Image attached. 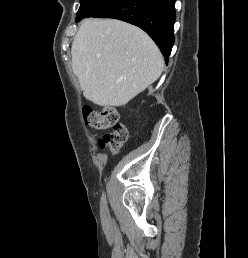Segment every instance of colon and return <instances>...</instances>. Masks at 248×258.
I'll list each match as a JSON object with an SVG mask.
<instances>
[{"instance_id":"5ec220e1","label":"colon","mask_w":248,"mask_h":258,"mask_svg":"<svg viewBox=\"0 0 248 258\" xmlns=\"http://www.w3.org/2000/svg\"><path fill=\"white\" fill-rule=\"evenodd\" d=\"M82 116L85 125L88 127L94 129L112 127V131L99 140V145L112 153H118L128 136L127 129L118 123V112L110 106L104 107L100 112L89 106H84Z\"/></svg>"}]
</instances>
